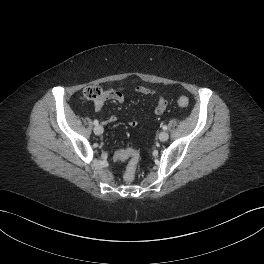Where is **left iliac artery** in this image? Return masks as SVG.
Masks as SVG:
<instances>
[{
  "label": "left iliac artery",
  "instance_id": "44dca946",
  "mask_svg": "<svg viewBox=\"0 0 264 264\" xmlns=\"http://www.w3.org/2000/svg\"><path fill=\"white\" fill-rule=\"evenodd\" d=\"M162 128H163V130H166V129H167V126H166V125H164Z\"/></svg>",
  "mask_w": 264,
  "mask_h": 264
}]
</instances>
